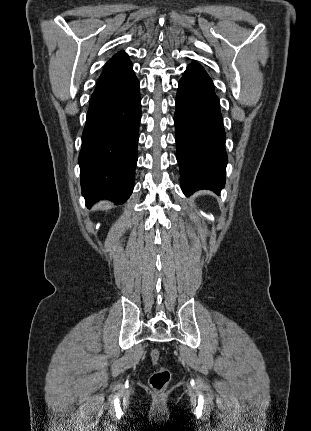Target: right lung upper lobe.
<instances>
[{"label": "right lung upper lobe", "mask_w": 311, "mask_h": 431, "mask_svg": "<svg viewBox=\"0 0 311 431\" xmlns=\"http://www.w3.org/2000/svg\"><path fill=\"white\" fill-rule=\"evenodd\" d=\"M132 67L128 55L124 52L115 54L105 65L99 79L111 77L125 72Z\"/></svg>", "instance_id": "right-lung-upper-lobe-1"}]
</instances>
